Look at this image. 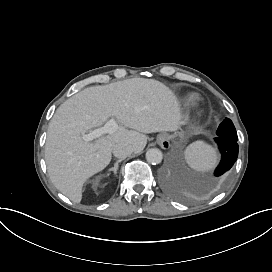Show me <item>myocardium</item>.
Here are the masks:
<instances>
[{
	"label": "myocardium",
	"mask_w": 272,
	"mask_h": 272,
	"mask_svg": "<svg viewBox=\"0 0 272 272\" xmlns=\"http://www.w3.org/2000/svg\"><path fill=\"white\" fill-rule=\"evenodd\" d=\"M189 104H190V106H193V105H195L196 104V100H191L190 102H189ZM190 116L192 117V118H194V119H199V118H201L202 117V115L200 114V113H190Z\"/></svg>",
	"instance_id": "f54148a6"
}]
</instances>
